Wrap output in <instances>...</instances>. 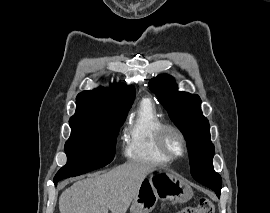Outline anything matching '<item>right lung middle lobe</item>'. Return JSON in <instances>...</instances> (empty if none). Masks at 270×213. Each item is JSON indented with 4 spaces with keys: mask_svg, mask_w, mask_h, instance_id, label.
Returning a JSON list of instances; mask_svg holds the SVG:
<instances>
[{
    "mask_svg": "<svg viewBox=\"0 0 270 213\" xmlns=\"http://www.w3.org/2000/svg\"><path fill=\"white\" fill-rule=\"evenodd\" d=\"M127 113L108 119H87L69 122L71 136L65 144L67 164L54 181L74 177L109 164L115 153L116 137Z\"/></svg>",
    "mask_w": 270,
    "mask_h": 213,
    "instance_id": "dd1d6c3e",
    "label": "right lung middle lobe"
}]
</instances>
